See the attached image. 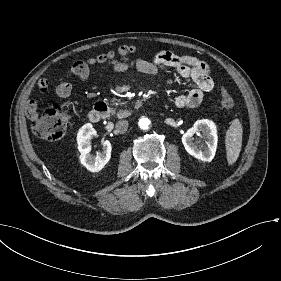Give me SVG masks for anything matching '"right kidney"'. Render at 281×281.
<instances>
[{"label":"right kidney","mask_w":281,"mask_h":281,"mask_svg":"<svg viewBox=\"0 0 281 281\" xmlns=\"http://www.w3.org/2000/svg\"><path fill=\"white\" fill-rule=\"evenodd\" d=\"M97 132L91 123L84 124L77 133V144L80 152V162L91 172H99L111 158V143L106 140L103 143V151L96 156L90 153L91 140Z\"/></svg>","instance_id":"ca27d5eb"}]
</instances>
